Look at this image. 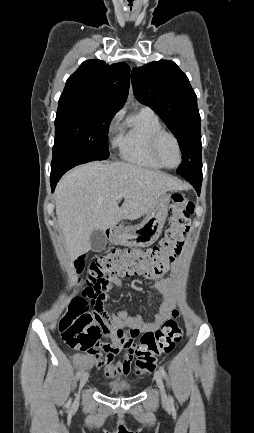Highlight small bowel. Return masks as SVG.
<instances>
[{"label": "small bowel", "mask_w": 254, "mask_h": 433, "mask_svg": "<svg viewBox=\"0 0 254 433\" xmlns=\"http://www.w3.org/2000/svg\"><path fill=\"white\" fill-rule=\"evenodd\" d=\"M168 267V266H167ZM167 267L160 273L144 275L148 279L155 280V285L160 293L156 299L158 312L151 322H145L139 315H130L125 310H119L109 314L102 304L108 297L111 288H118L122 285L119 277L111 282L99 293L101 303L99 311L98 336L104 333L113 339L112 343H101L92 355L77 353L75 355L76 366L81 370H89L93 366L103 368L107 378L113 379L120 376H126L130 372L132 360L134 357L135 338L140 334L154 331L159 328L163 322L176 314L170 300L171 284L170 282H161L157 276L166 272ZM89 292H86L88 294ZM121 357L113 363L117 355Z\"/></svg>", "instance_id": "small-bowel-1"}]
</instances>
